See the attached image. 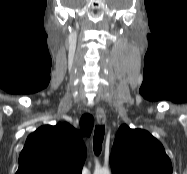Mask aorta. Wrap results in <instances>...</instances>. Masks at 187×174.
<instances>
[{
  "mask_svg": "<svg viewBox=\"0 0 187 174\" xmlns=\"http://www.w3.org/2000/svg\"><path fill=\"white\" fill-rule=\"evenodd\" d=\"M94 174H111L108 168H101L96 170Z\"/></svg>",
  "mask_w": 187,
  "mask_h": 174,
  "instance_id": "762f6f07",
  "label": "aorta"
}]
</instances>
